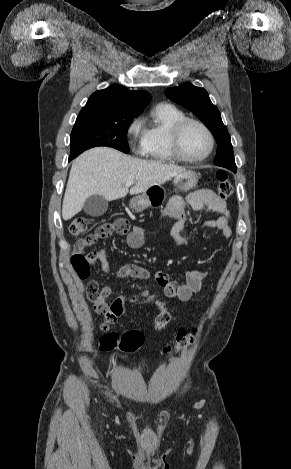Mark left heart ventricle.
<instances>
[{
    "label": "left heart ventricle",
    "instance_id": "obj_1",
    "mask_svg": "<svg viewBox=\"0 0 291 469\" xmlns=\"http://www.w3.org/2000/svg\"><path fill=\"white\" fill-rule=\"evenodd\" d=\"M181 147L187 157L198 158L207 152L209 140L201 127L196 124H189L183 130Z\"/></svg>",
    "mask_w": 291,
    "mask_h": 469
}]
</instances>
